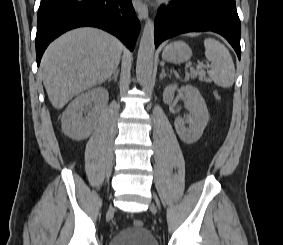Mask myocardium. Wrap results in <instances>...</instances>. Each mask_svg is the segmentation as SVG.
I'll return each instance as SVG.
<instances>
[{
  "instance_id": "1",
  "label": "myocardium",
  "mask_w": 283,
  "mask_h": 245,
  "mask_svg": "<svg viewBox=\"0 0 283 245\" xmlns=\"http://www.w3.org/2000/svg\"><path fill=\"white\" fill-rule=\"evenodd\" d=\"M162 1H164V2H169V1H171V0H162Z\"/></svg>"
}]
</instances>
